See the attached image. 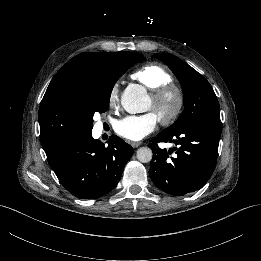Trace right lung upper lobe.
Here are the masks:
<instances>
[{
  "instance_id": "1",
  "label": "right lung upper lobe",
  "mask_w": 261,
  "mask_h": 261,
  "mask_svg": "<svg viewBox=\"0 0 261 261\" xmlns=\"http://www.w3.org/2000/svg\"><path fill=\"white\" fill-rule=\"evenodd\" d=\"M121 53H82L58 71L40 104L41 139L53 136L61 147L89 134L90 122L83 102L85 84L100 68L113 63Z\"/></svg>"
}]
</instances>
